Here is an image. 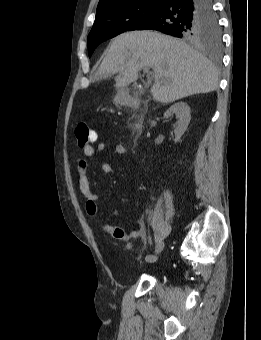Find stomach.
<instances>
[{"mask_svg": "<svg viewBox=\"0 0 261 340\" xmlns=\"http://www.w3.org/2000/svg\"><path fill=\"white\" fill-rule=\"evenodd\" d=\"M124 101H125V93L123 91H119L114 98V102L116 104H122Z\"/></svg>", "mask_w": 261, "mask_h": 340, "instance_id": "stomach-1", "label": "stomach"}]
</instances>
